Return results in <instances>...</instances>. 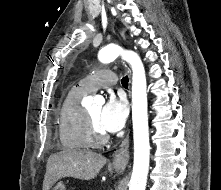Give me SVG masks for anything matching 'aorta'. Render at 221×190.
Returning <instances> with one entry per match:
<instances>
[{
	"instance_id": "762f6f07",
	"label": "aorta",
	"mask_w": 221,
	"mask_h": 190,
	"mask_svg": "<svg viewBox=\"0 0 221 190\" xmlns=\"http://www.w3.org/2000/svg\"><path fill=\"white\" fill-rule=\"evenodd\" d=\"M119 56L132 67V121L134 139V164L129 190H145L149 170L150 144L147 114L146 75L137 53L109 45L99 51L98 59L110 63Z\"/></svg>"
}]
</instances>
